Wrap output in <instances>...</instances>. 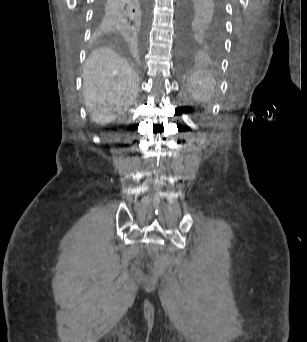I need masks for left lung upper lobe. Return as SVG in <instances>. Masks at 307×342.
<instances>
[{
  "label": "left lung upper lobe",
  "instance_id": "1",
  "mask_svg": "<svg viewBox=\"0 0 307 342\" xmlns=\"http://www.w3.org/2000/svg\"><path fill=\"white\" fill-rule=\"evenodd\" d=\"M224 0H182L181 48L185 53H219L224 42Z\"/></svg>",
  "mask_w": 307,
  "mask_h": 342
}]
</instances>
